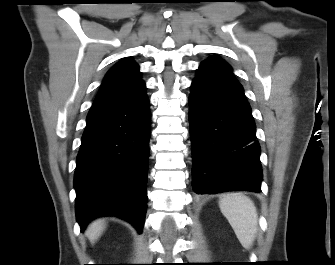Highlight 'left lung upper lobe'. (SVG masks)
<instances>
[{"mask_svg": "<svg viewBox=\"0 0 335 265\" xmlns=\"http://www.w3.org/2000/svg\"><path fill=\"white\" fill-rule=\"evenodd\" d=\"M201 65L203 66H215L218 68H223L231 71L230 65H228L225 61L218 57H210L206 60H204Z\"/></svg>", "mask_w": 335, "mask_h": 265, "instance_id": "left-lung-upper-lobe-1", "label": "left lung upper lobe"}]
</instances>
